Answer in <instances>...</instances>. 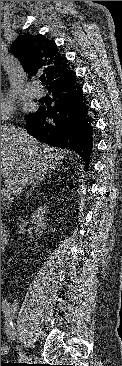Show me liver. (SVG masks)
<instances>
[{
  "label": "liver",
  "mask_w": 122,
  "mask_h": 366,
  "mask_svg": "<svg viewBox=\"0 0 122 366\" xmlns=\"http://www.w3.org/2000/svg\"><path fill=\"white\" fill-rule=\"evenodd\" d=\"M67 153L40 143L23 129L1 125V179L14 196L54 169Z\"/></svg>",
  "instance_id": "1"
}]
</instances>
